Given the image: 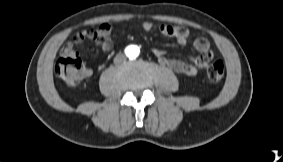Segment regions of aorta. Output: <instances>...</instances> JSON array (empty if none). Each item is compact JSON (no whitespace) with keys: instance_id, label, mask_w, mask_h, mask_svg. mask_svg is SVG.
<instances>
[{"instance_id":"1","label":"aorta","mask_w":283,"mask_h":162,"mask_svg":"<svg viewBox=\"0 0 283 162\" xmlns=\"http://www.w3.org/2000/svg\"><path fill=\"white\" fill-rule=\"evenodd\" d=\"M126 53L130 58H136L139 55V48L134 45L128 46Z\"/></svg>"}]
</instances>
